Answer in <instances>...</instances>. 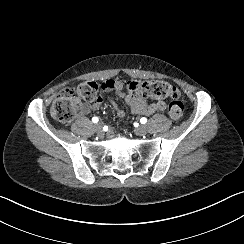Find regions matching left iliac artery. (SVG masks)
I'll return each instance as SVG.
<instances>
[{
	"label": "left iliac artery",
	"mask_w": 244,
	"mask_h": 244,
	"mask_svg": "<svg viewBox=\"0 0 244 244\" xmlns=\"http://www.w3.org/2000/svg\"><path fill=\"white\" fill-rule=\"evenodd\" d=\"M140 122H141L142 124H145V123L147 122V119H146L145 117H142V118L140 119Z\"/></svg>",
	"instance_id": "obj_1"
}]
</instances>
